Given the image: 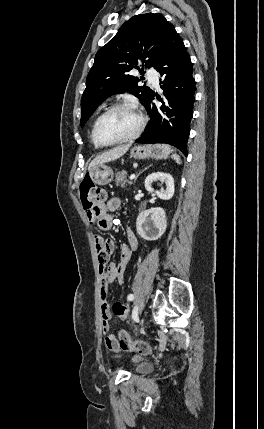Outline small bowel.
I'll use <instances>...</instances> for the list:
<instances>
[{
    "label": "small bowel",
    "mask_w": 264,
    "mask_h": 429,
    "mask_svg": "<svg viewBox=\"0 0 264 429\" xmlns=\"http://www.w3.org/2000/svg\"><path fill=\"white\" fill-rule=\"evenodd\" d=\"M121 206V199L114 197L110 198L106 203L98 206L95 213L89 214L86 212L87 219L90 224H97L103 230H109L115 225L116 219L112 217L110 212L118 210ZM127 242L120 248V257L118 263L108 260L115 250V243L112 239H104L99 235L94 236V245L98 254V269L101 277L100 283V299H101V315H102V330L105 333V345L112 352H120L122 347L118 336L110 333V320L112 318L110 305L108 302V286L116 281L118 284L124 282V272L129 263L132 253L137 250L139 240L133 229H126ZM151 348L146 344L145 348L139 350L141 355L149 354Z\"/></svg>",
    "instance_id": "c3829d8e"
}]
</instances>
